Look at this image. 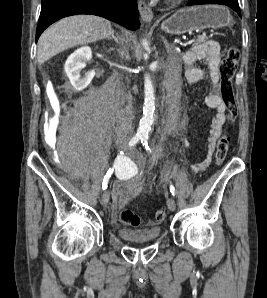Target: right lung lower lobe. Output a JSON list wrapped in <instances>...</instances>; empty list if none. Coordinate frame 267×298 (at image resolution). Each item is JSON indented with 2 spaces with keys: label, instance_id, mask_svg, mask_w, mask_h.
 I'll use <instances>...</instances> for the list:
<instances>
[{
  "label": "right lung lower lobe",
  "instance_id": "98d812e1",
  "mask_svg": "<svg viewBox=\"0 0 267 298\" xmlns=\"http://www.w3.org/2000/svg\"><path fill=\"white\" fill-rule=\"evenodd\" d=\"M76 14L101 16L131 30L140 27L136 0H42L36 42L49 25Z\"/></svg>",
  "mask_w": 267,
  "mask_h": 298
}]
</instances>
